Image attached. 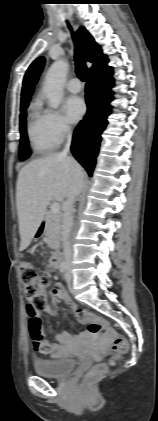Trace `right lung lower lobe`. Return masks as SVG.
Returning <instances> with one entry per match:
<instances>
[{"label": "right lung lower lobe", "instance_id": "98d812e1", "mask_svg": "<svg viewBox=\"0 0 158 421\" xmlns=\"http://www.w3.org/2000/svg\"><path fill=\"white\" fill-rule=\"evenodd\" d=\"M108 61L100 68L90 72L86 84L87 113L78 124L73 134L71 150L74 157L92 176L96 163L101 133L107 125V116L111 112L110 102L113 92V71L107 66Z\"/></svg>", "mask_w": 158, "mask_h": 421}]
</instances>
